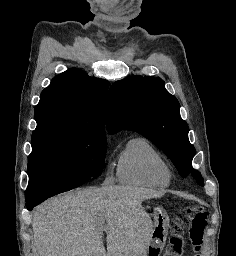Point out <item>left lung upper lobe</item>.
<instances>
[{
  "label": "left lung upper lobe",
  "instance_id": "1",
  "mask_svg": "<svg viewBox=\"0 0 236 256\" xmlns=\"http://www.w3.org/2000/svg\"><path fill=\"white\" fill-rule=\"evenodd\" d=\"M106 125L111 134L121 129L140 133L171 159L182 178L191 173L204 186L201 174L192 168L195 148L189 142L179 102L162 79L131 76L115 82L108 94Z\"/></svg>",
  "mask_w": 236,
  "mask_h": 256
}]
</instances>
